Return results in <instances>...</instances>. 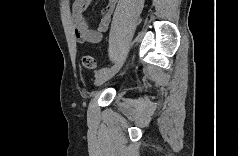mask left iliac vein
I'll list each match as a JSON object with an SVG mask.
<instances>
[{"instance_id": "left-iliac-vein-1", "label": "left iliac vein", "mask_w": 239, "mask_h": 156, "mask_svg": "<svg viewBox=\"0 0 239 156\" xmlns=\"http://www.w3.org/2000/svg\"><path fill=\"white\" fill-rule=\"evenodd\" d=\"M125 61V58L122 59L120 62H118L115 66L108 68L103 74L96 77L94 84L96 86L102 85L104 82L109 80L111 77H113L122 67L123 63Z\"/></svg>"}]
</instances>
